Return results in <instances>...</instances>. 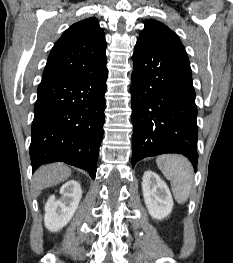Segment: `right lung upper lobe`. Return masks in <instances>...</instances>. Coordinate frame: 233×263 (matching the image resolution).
<instances>
[{"instance_id": "cb5924a9", "label": "right lung upper lobe", "mask_w": 233, "mask_h": 263, "mask_svg": "<svg viewBox=\"0 0 233 263\" xmlns=\"http://www.w3.org/2000/svg\"><path fill=\"white\" fill-rule=\"evenodd\" d=\"M106 60V41L96 18L70 26L52 48L42 81L83 77Z\"/></svg>"}]
</instances>
